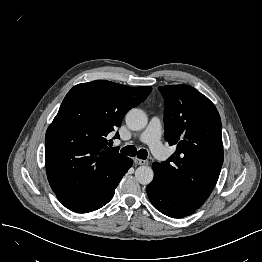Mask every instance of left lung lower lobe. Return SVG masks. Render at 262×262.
Returning a JSON list of instances; mask_svg holds the SVG:
<instances>
[{
    "instance_id": "1",
    "label": "left lung lower lobe",
    "mask_w": 262,
    "mask_h": 262,
    "mask_svg": "<svg viewBox=\"0 0 262 262\" xmlns=\"http://www.w3.org/2000/svg\"><path fill=\"white\" fill-rule=\"evenodd\" d=\"M154 179L147 186L149 200L161 213L172 218H183L195 213L196 209L186 204L172 190H170L160 173L158 163H153Z\"/></svg>"
}]
</instances>
